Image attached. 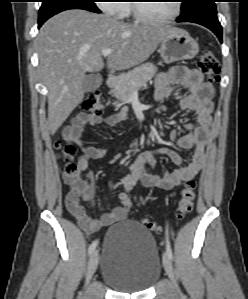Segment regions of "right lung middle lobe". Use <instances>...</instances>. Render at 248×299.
<instances>
[{"label": "right lung middle lobe", "instance_id": "1", "mask_svg": "<svg viewBox=\"0 0 248 299\" xmlns=\"http://www.w3.org/2000/svg\"><path fill=\"white\" fill-rule=\"evenodd\" d=\"M94 1L95 0H42V5L39 10V20H43L68 9H84L101 13Z\"/></svg>", "mask_w": 248, "mask_h": 299}]
</instances>
